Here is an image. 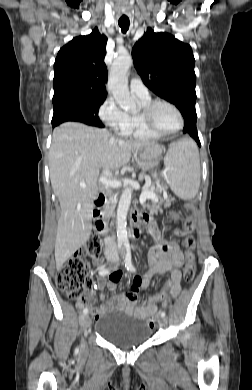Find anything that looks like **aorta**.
<instances>
[{
	"label": "aorta",
	"instance_id": "762f6f07",
	"mask_svg": "<svg viewBox=\"0 0 252 390\" xmlns=\"http://www.w3.org/2000/svg\"><path fill=\"white\" fill-rule=\"evenodd\" d=\"M132 63L133 60L130 55H119L111 65L107 85L117 104L123 110L130 112L136 110L135 99L130 95L128 88L127 73ZM131 199L132 190L127 187L121 194L117 209V239L120 244L128 243L126 220Z\"/></svg>",
	"mask_w": 252,
	"mask_h": 390
}]
</instances>
